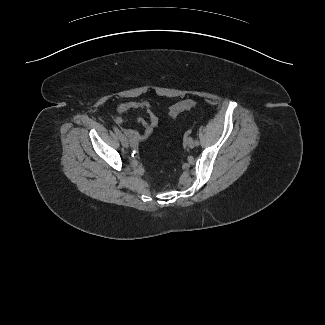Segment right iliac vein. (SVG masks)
I'll return each instance as SVG.
<instances>
[{
    "label": "right iliac vein",
    "mask_w": 325,
    "mask_h": 325,
    "mask_svg": "<svg viewBox=\"0 0 325 325\" xmlns=\"http://www.w3.org/2000/svg\"><path fill=\"white\" fill-rule=\"evenodd\" d=\"M120 141H121V144L125 147V148H127L128 146H129V142H128V139L126 138V136L125 135H121V137H120Z\"/></svg>",
    "instance_id": "63e3f726"
}]
</instances>
